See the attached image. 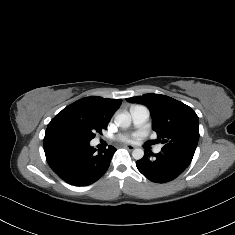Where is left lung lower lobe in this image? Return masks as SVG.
<instances>
[{
  "instance_id": "obj_1",
  "label": "left lung lower lobe",
  "mask_w": 235,
  "mask_h": 235,
  "mask_svg": "<svg viewBox=\"0 0 235 235\" xmlns=\"http://www.w3.org/2000/svg\"><path fill=\"white\" fill-rule=\"evenodd\" d=\"M192 158L188 154L162 148L158 154L146 151L136 166L150 181L163 183L178 177L190 165Z\"/></svg>"
}]
</instances>
